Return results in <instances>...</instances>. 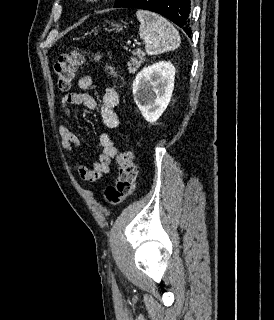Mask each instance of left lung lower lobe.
Segmentation results:
<instances>
[{
    "mask_svg": "<svg viewBox=\"0 0 274 320\" xmlns=\"http://www.w3.org/2000/svg\"><path fill=\"white\" fill-rule=\"evenodd\" d=\"M122 7L145 9L159 13L183 28L186 34L191 36L190 0H129Z\"/></svg>",
    "mask_w": 274,
    "mask_h": 320,
    "instance_id": "left-lung-lower-lobe-1",
    "label": "left lung lower lobe"
}]
</instances>
